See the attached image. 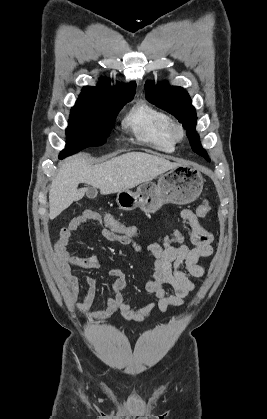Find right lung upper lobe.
I'll list each match as a JSON object with an SVG mask.
<instances>
[{"label": "right lung upper lobe", "instance_id": "cb5924a9", "mask_svg": "<svg viewBox=\"0 0 267 419\" xmlns=\"http://www.w3.org/2000/svg\"><path fill=\"white\" fill-rule=\"evenodd\" d=\"M135 87V82H131L125 85L118 83L116 86L112 87L107 81L102 79L101 84L96 87H83L79 99L76 103H89L98 100L134 95Z\"/></svg>", "mask_w": 267, "mask_h": 419}]
</instances>
